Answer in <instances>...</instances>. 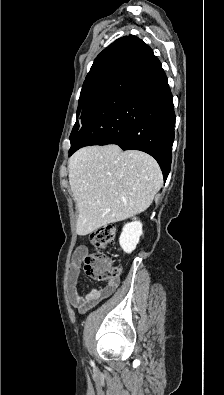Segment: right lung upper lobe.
Wrapping results in <instances>:
<instances>
[{"label":"right lung upper lobe","instance_id":"obj_1","mask_svg":"<svg viewBox=\"0 0 224 395\" xmlns=\"http://www.w3.org/2000/svg\"><path fill=\"white\" fill-rule=\"evenodd\" d=\"M143 43L141 39L133 35L114 41L96 57L84 83L103 74L121 70Z\"/></svg>","mask_w":224,"mask_h":395}]
</instances>
